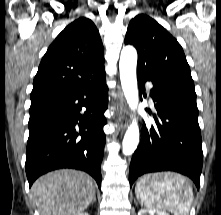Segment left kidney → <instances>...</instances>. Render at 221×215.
I'll return each instance as SVG.
<instances>
[{"label":"left kidney","mask_w":221,"mask_h":215,"mask_svg":"<svg viewBox=\"0 0 221 215\" xmlns=\"http://www.w3.org/2000/svg\"><path fill=\"white\" fill-rule=\"evenodd\" d=\"M138 215H169V214L162 210L141 209L139 210Z\"/></svg>","instance_id":"1"}]
</instances>
